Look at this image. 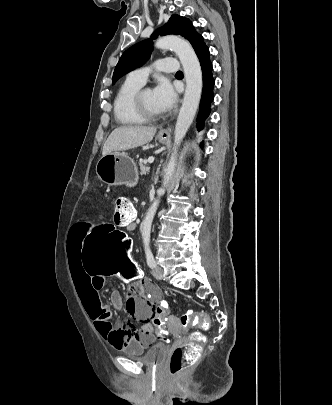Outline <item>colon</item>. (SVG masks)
<instances>
[{"instance_id": "1", "label": "colon", "mask_w": 332, "mask_h": 405, "mask_svg": "<svg viewBox=\"0 0 332 405\" xmlns=\"http://www.w3.org/2000/svg\"><path fill=\"white\" fill-rule=\"evenodd\" d=\"M135 216V208L129 197L118 196L115 202V218L128 221ZM109 220H84V240L81 262H84L88 275H115L116 281L138 282L143 277L141 267L130 255L131 242L129 235L109 227ZM150 288H158L151 285ZM162 298V293L161 296ZM158 310L151 318L155 338L159 342H170L171 335L167 319L171 317V303L167 299L158 301ZM209 317L204 311L185 313L180 316L179 324L182 329L191 325H200L207 329ZM204 341V335L193 332L189 342L176 347L171 354L169 370L173 376H179L187 370L199 357V346Z\"/></svg>"}]
</instances>
